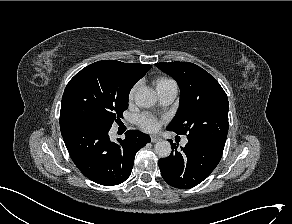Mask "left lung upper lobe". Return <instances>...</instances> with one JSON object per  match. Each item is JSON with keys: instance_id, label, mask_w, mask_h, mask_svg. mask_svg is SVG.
I'll list each match as a JSON object with an SVG mask.
<instances>
[{"instance_id": "1", "label": "left lung upper lobe", "mask_w": 292, "mask_h": 224, "mask_svg": "<svg viewBox=\"0 0 292 224\" xmlns=\"http://www.w3.org/2000/svg\"><path fill=\"white\" fill-rule=\"evenodd\" d=\"M180 88L179 109L168 130L188 139L224 147L228 133V98L201 67L187 62L156 63Z\"/></svg>"}]
</instances>
